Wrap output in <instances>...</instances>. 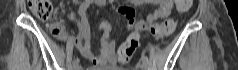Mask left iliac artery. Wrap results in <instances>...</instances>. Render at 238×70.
<instances>
[{
  "instance_id": "obj_1",
  "label": "left iliac artery",
  "mask_w": 238,
  "mask_h": 70,
  "mask_svg": "<svg viewBox=\"0 0 238 70\" xmlns=\"http://www.w3.org/2000/svg\"><path fill=\"white\" fill-rule=\"evenodd\" d=\"M141 60H142V62H144L146 64L149 62L148 61V57L146 55H144V54L141 56Z\"/></svg>"
}]
</instances>
